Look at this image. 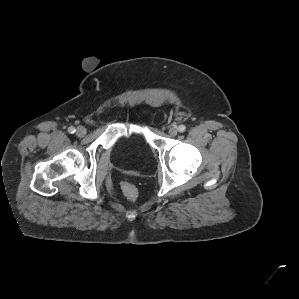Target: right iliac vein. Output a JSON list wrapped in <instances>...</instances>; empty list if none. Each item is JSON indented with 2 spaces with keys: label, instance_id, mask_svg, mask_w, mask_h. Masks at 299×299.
I'll return each instance as SVG.
<instances>
[{
  "label": "right iliac vein",
  "instance_id": "1",
  "mask_svg": "<svg viewBox=\"0 0 299 299\" xmlns=\"http://www.w3.org/2000/svg\"><path fill=\"white\" fill-rule=\"evenodd\" d=\"M87 133V130L84 126H78L77 129H76V135L78 137H83L85 136Z\"/></svg>",
  "mask_w": 299,
  "mask_h": 299
}]
</instances>
